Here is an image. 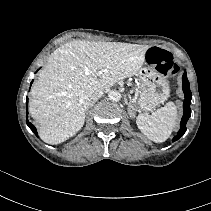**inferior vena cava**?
Masks as SVG:
<instances>
[{
    "mask_svg": "<svg viewBox=\"0 0 211 211\" xmlns=\"http://www.w3.org/2000/svg\"><path fill=\"white\" fill-rule=\"evenodd\" d=\"M104 94L103 90H96L93 95H92V100H97L98 98H100L102 95Z\"/></svg>",
    "mask_w": 211,
    "mask_h": 211,
    "instance_id": "obj_1",
    "label": "inferior vena cava"
}]
</instances>
